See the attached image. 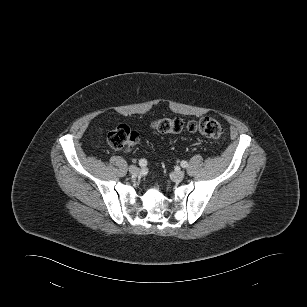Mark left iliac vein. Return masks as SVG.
<instances>
[{"mask_svg": "<svg viewBox=\"0 0 307 307\" xmlns=\"http://www.w3.org/2000/svg\"><path fill=\"white\" fill-rule=\"evenodd\" d=\"M184 177H185V174L181 170H176L171 174V178L176 182L182 181Z\"/></svg>", "mask_w": 307, "mask_h": 307, "instance_id": "4c4485c4", "label": "left iliac vein"}]
</instances>
